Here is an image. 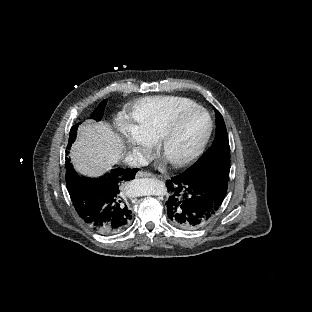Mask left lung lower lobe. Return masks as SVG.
<instances>
[{
  "label": "left lung lower lobe",
  "instance_id": "1",
  "mask_svg": "<svg viewBox=\"0 0 312 312\" xmlns=\"http://www.w3.org/2000/svg\"><path fill=\"white\" fill-rule=\"evenodd\" d=\"M230 162L185 170L166 181L171 196L166 202L170 221L184 229L199 228L218 213L226 196Z\"/></svg>",
  "mask_w": 312,
  "mask_h": 312
}]
</instances>
